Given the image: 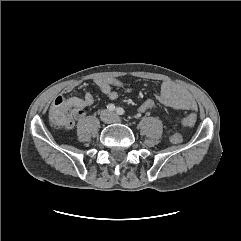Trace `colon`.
<instances>
[{
  "mask_svg": "<svg viewBox=\"0 0 241 241\" xmlns=\"http://www.w3.org/2000/svg\"><path fill=\"white\" fill-rule=\"evenodd\" d=\"M156 110V103L152 99H147L139 105V111L142 113H153ZM74 108L63 96H58L49 112V120L56 127L69 128L73 124ZM197 117L195 114H190L184 117L181 121L183 127H192L195 125ZM173 144L181 143L183 137L181 134H174L170 138Z\"/></svg>",
  "mask_w": 241,
  "mask_h": 241,
  "instance_id": "obj_1",
  "label": "colon"
}]
</instances>
